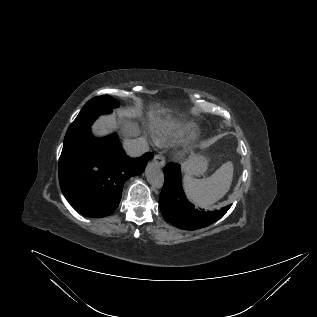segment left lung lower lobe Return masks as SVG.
<instances>
[{"label":"left lung lower lobe","instance_id":"obj_1","mask_svg":"<svg viewBox=\"0 0 317 317\" xmlns=\"http://www.w3.org/2000/svg\"><path fill=\"white\" fill-rule=\"evenodd\" d=\"M164 174V186L159 198L160 210L164 218L178 228L195 230L209 226L223 217L231 207L228 205L214 212L198 209L184 195L180 179V166L170 163L166 165Z\"/></svg>","mask_w":317,"mask_h":317}]
</instances>
